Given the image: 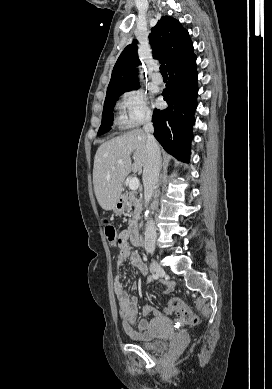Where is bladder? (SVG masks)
<instances>
[{"instance_id": "31cf9c89", "label": "bladder", "mask_w": 272, "mask_h": 389, "mask_svg": "<svg viewBox=\"0 0 272 389\" xmlns=\"http://www.w3.org/2000/svg\"><path fill=\"white\" fill-rule=\"evenodd\" d=\"M168 345L166 339L147 340L139 342V346L146 350L159 351L164 350Z\"/></svg>"}]
</instances>
